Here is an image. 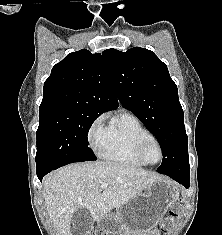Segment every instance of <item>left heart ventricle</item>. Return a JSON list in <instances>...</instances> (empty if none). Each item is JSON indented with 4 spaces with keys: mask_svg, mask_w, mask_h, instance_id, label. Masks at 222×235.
<instances>
[{
    "mask_svg": "<svg viewBox=\"0 0 222 235\" xmlns=\"http://www.w3.org/2000/svg\"><path fill=\"white\" fill-rule=\"evenodd\" d=\"M159 157H160V152L158 147L154 143L149 144L145 150L146 160L148 162L154 163L158 161Z\"/></svg>",
    "mask_w": 222,
    "mask_h": 235,
    "instance_id": "obj_1",
    "label": "left heart ventricle"
}]
</instances>
